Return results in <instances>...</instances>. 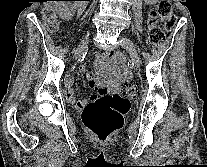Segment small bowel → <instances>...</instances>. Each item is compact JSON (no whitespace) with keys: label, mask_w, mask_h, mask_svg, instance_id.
Masks as SVG:
<instances>
[{"label":"small bowel","mask_w":207,"mask_h":167,"mask_svg":"<svg viewBox=\"0 0 207 167\" xmlns=\"http://www.w3.org/2000/svg\"><path fill=\"white\" fill-rule=\"evenodd\" d=\"M151 2L153 0H146ZM79 71L86 75L88 78L89 85L97 89L99 95H104L109 91H116L119 88V82L124 80H129L132 76L131 70L125 66H122V72L119 73L118 69L111 65L110 66V75L109 80L99 77L98 80L87 71L84 66L79 67ZM73 79L72 77H67L65 80V90L68 97V100L77 105L79 108H85L89 103L96 99V96H93L91 99H76V91L73 88Z\"/></svg>","instance_id":"c3829d8e"}]
</instances>
